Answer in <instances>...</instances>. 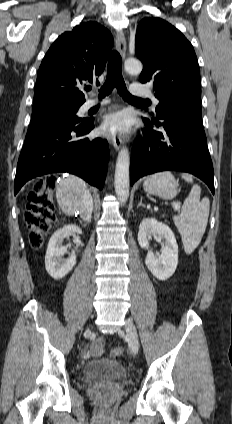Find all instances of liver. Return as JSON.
I'll return each mask as SVG.
<instances>
[{
    "mask_svg": "<svg viewBox=\"0 0 232 424\" xmlns=\"http://www.w3.org/2000/svg\"><path fill=\"white\" fill-rule=\"evenodd\" d=\"M89 193L87 184L75 175L63 177L56 187V199L64 214L73 216L80 209L82 198Z\"/></svg>",
    "mask_w": 232,
    "mask_h": 424,
    "instance_id": "6515ba94",
    "label": "liver"
}]
</instances>
